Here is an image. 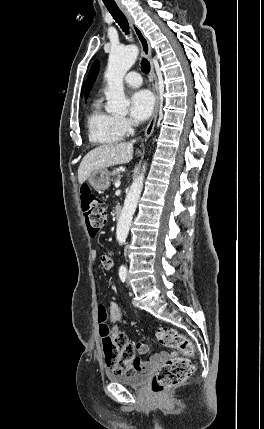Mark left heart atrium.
Here are the masks:
<instances>
[{
  "label": "left heart atrium",
  "instance_id": "obj_1",
  "mask_svg": "<svg viewBox=\"0 0 264 429\" xmlns=\"http://www.w3.org/2000/svg\"><path fill=\"white\" fill-rule=\"evenodd\" d=\"M154 109V99L147 90L135 92L130 99V115L137 121L142 122L150 117Z\"/></svg>",
  "mask_w": 264,
  "mask_h": 429
}]
</instances>
